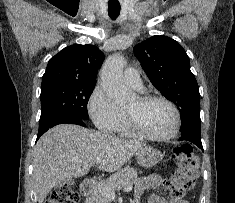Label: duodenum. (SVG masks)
<instances>
[{"label": "duodenum", "mask_w": 235, "mask_h": 203, "mask_svg": "<svg viewBox=\"0 0 235 203\" xmlns=\"http://www.w3.org/2000/svg\"><path fill=\"white\" fill-rule=\"evenodd\" d=\"M95 186L96 180L94 178L85 179L80 186L81 195L87 199L94 190ZM133 203H138V201L134 200Z\"/></svg>", "instance_id": "obj_1"}]
</instances>
